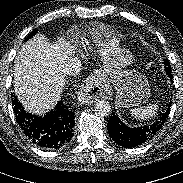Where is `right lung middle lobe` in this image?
Here are the masks:
<instances>
[{"label":"right lung middle lobe","instance_id":"dd1d6c3e","mask_svg":"<svg viewBox=\"0 0 183 183\" xmlns=\"http://www.w3.org/2000/svg\"><path fill=\"white\" fill-rule=\"evenodd\" d=\"M35 33H36V30H34V31L27 37L26 40H28V39H30L31 37H33V35H35Z\"/></svg>","mask_w":183,"mask_h":183}]
</instances>
